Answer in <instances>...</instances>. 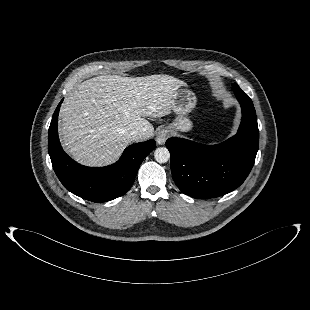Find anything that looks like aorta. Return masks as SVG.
I'll list each match as a JSON object with an SVG mask.
<instances>
[{
    "instance_id": "762f6f07",
    "label": "aorta",
    "mask_w": 310,
    "mask_h": 310,
    "mask_svg": "<svg viewBox=\"0 0 310 310\" xmlns=\"http://www.w3.org/2000/svg\"><path fill=\"white\" fill-rule=\"evenodd\" d=\"M154 158L158 163H166L170 159L169 150L166 147H159L154 151Z\"/></svg>"
}]
</instances>
